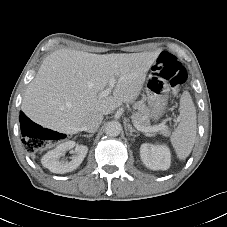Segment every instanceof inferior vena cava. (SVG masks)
Wrapping results in <instances>:
<instances>
[{
	"instance_id": "inferior-vena-cava-1",
	"label": "inferior vena cava",
	"mask_w": 227,
	"mask_h": 227,
	"mask_svg": "<svg viewBox=\"0 0 227 227\" xmlns=\"http://www.w3.org/2000/svg\"><path fill=\"white\" fill-rule=\"evenodd\" d=\"M103 120V115L101 113H94L89 115L84 122L83 130L89 133H94L97 131Z\"/></svg>"
}]
</instances>
